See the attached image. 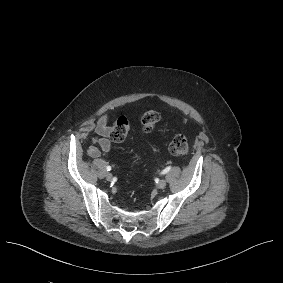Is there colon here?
I'll use <instances>...</instances> for the list:
<instances>
[{"label":"colon","instance_id":"colon-1","mask_svg":"<svg viewBox=\"0 0 283 283\" xmlns=\"http://www.w3.org/2000/svg\"><path fill=\"white\" fill-rule=\"evenodd\" d=\"M160 120V115L155 110L146 111L141 118L142 130L151 132ZM130 130V124L126 117L117 118L111 128L110 138L113 143L125 140ZM169 151L175 157H184L189 151V144L183 135H176L169 144Z\"/></svg>","mask_w":283,"mask_h":283}]
</instances>
